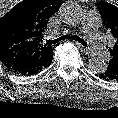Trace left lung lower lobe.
I'll use <instances>...</instances> for the list:
<instances>
[{
  "instance_id": "0a47b994",
  "label": "left lung lower lobe",
  "mask_w": 118,
  "mask_h": 118,
  "mask_svg": "<svg viewBox=\"0 0 118 118\" xmlns=\"http://www.w3.org/2000/svg\"><path fill=\"white\" fill-rule=\"evenodd\" d=\"M99 76H100L103 80H107V81L110 80V79H109L107 76H105L103 73L100 74Z\"/></svg>"
}]
</instances>
